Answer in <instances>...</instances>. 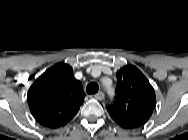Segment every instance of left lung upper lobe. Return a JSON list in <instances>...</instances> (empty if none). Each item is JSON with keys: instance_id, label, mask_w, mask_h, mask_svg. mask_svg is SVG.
<instances>
[{"instance_id": "1", "label": "left lung upper lobe", "mask_w": 188, "mask_h": 140, "mask_svg": "<svg viewBox=\"0 0 188 140\" xmlns=\"http://www.w3.org/2000/svg\"><path fill=\"white\" fill-rule=\"evenodd\" d=\"M155 106L154 89L138 68L127 65L117 72L116 98L107 110L119 126L127 129L143 126Z\"/></svg>"}]
</instances>
